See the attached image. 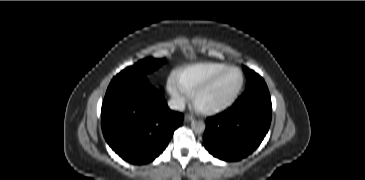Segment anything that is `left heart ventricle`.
Wrapping results in <instances>:
<instances>
[{"label": "left heart ventricle", "instance_id": "1", "mask_svg": "<svg viewBox=\"0 0 365 180\" xmlns=\"http://www.w3.org/2000/svg\"><path fill=\"white\" fill-rule=\"evenodd\" d=\"M241 83L237 70H229L221 75L209 88L201 92L196 99L198 106L210 108L229 101Z\"/></svg>", "mask_w": 365, "mask_h": 180}]
</instances>
